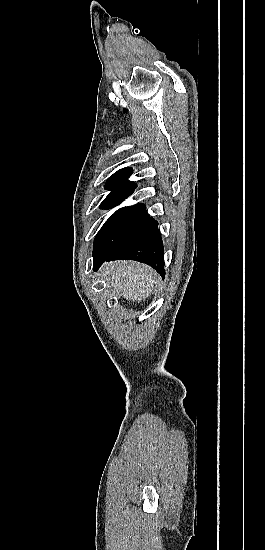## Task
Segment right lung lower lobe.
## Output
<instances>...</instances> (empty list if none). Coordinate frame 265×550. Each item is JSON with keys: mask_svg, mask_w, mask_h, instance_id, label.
Listing matches in <instances>:
<instances>
[{"mask_svg": "<svg viewBox=\"0 0 265 550\" xmlns=\"http://www.w3.org/2000/svg\"><path fill=\"white\" fill-rule=\"evenodd\" d=\"M164 249L158 223L146 213L110 251L93 254V270L105 261L130 259L146 263L164 278Z\"/></svg>", "mask_w": 265, "mask_h": 550, "instance_id": "1", "label": "right lung lower lobe"}]
</instances>
